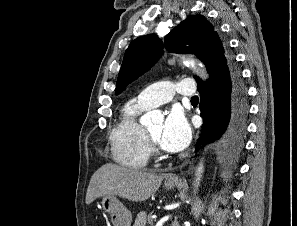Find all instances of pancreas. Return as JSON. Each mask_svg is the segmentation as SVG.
<instances>
[{
	"label": "pancreas",
	"instance_id": "pancreas-1",
	"mask_svg": "<svg viewBox=\"0 0 297 226\" xmlns=\"http://www.w3.org/2000/svg\"><path fill=\"white\" fill-rule=\"evenodd\" d=\"M153 220L147 217V213L141 211L137 214L133 226H146V224L152 225Z\"/></svg>",
	"mask_w": 297,
	"mask_h": 226
}]
</instances>
